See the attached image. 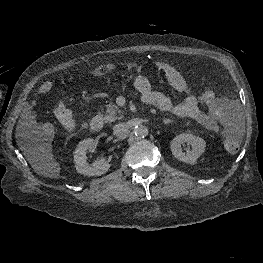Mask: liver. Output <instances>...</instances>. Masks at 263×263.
<instances>
[{
  "instance_id": "obj_1",
  "label": "liver",
  "mask_w": 263,
  "mask_h": 263,
  "mask_svg": "<svg viewBox=\"0 0 263 263\" xmlns=\"http://www.w3.org/2000/svg\"><path fill=\"white\" fill-rule=\"evenodd\" d=\"M19 130V127H17V131ZM58 173V171H56Z\"/></svg>"
}]
</instances>
